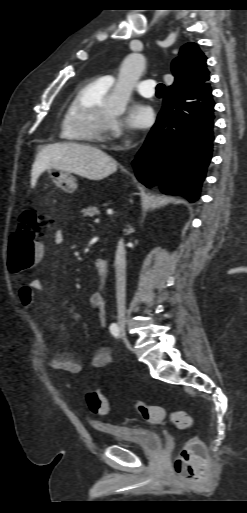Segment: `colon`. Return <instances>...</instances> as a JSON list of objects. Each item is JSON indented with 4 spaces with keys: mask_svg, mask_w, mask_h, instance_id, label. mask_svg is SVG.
<instances>
[{
    "mask_svg": "<svg viewBox=\"0 0 247 513\" xmlns=\"http://www.w3.org/2000/svg\"><path fill=\"white\" fill-rule=\"evenodd\" d=\"M42 222L32 210H27L21 215L18 227L12 234L8 247L11 273L26 272L41 257ZM85 400L88 408L94 414L106 415L108 413V402L100 390L92 389L88 391ZM133 406L146 422L158 424L169 420L180 429H188L193 426V417L185 411L169 412L161 406L150 405L139 400H134ZM204 458L205 447L202 441L197 437L190 438L174 460L175 475L186 479L195 477L202 469Z\"/></svg>",
    "mask_w": 247,
    "mask_h": 513,
    "instance_id": "obj_1",
    "label": "colon"
}]
</instances>
